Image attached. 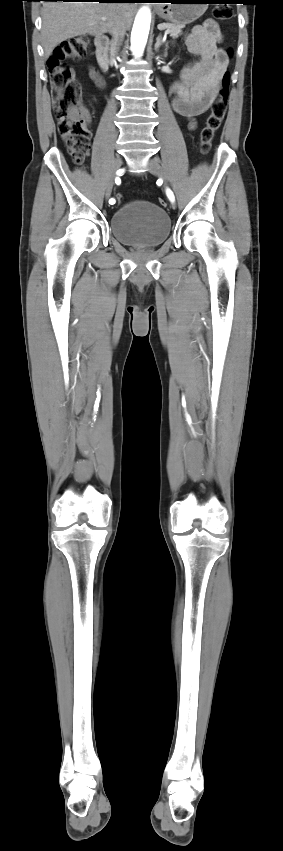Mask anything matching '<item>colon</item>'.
Here are the masks:
<instances>
[{"label":"colon","instance_id":"obj_1","mask_svg":"<svg viewBox=\"0 0 283 851\" xmlns=\"http://www.w3.org/2000/svg\"><path fill=\"white\" fill-rule=\"evenodd\" d=\"M213 15L219 21H226L232 18L233 11L228 5H220L214 8ZM88 47L89 39L86 36L70 38L55 49L47 62L58 131L66 144L74 145L70 154L76 164L83 162L90 149V131L87 116L81 106L80 88L75 80L73 68L67 64V61L83 58ZM226 52L228 55L232 54L231 49H227ZM228 95L229 75L225 74L206 125L201 131L200 148L203 153L209 151L216 132L222 125L227 111ZM120 200L121 196H118V201ZM159 204L165 206L166 202L160 198Z\"/></svg>","mask_w":283,"mask_h":851}]
</instances>
